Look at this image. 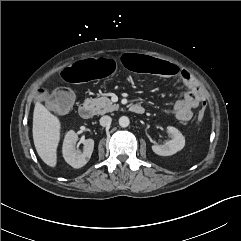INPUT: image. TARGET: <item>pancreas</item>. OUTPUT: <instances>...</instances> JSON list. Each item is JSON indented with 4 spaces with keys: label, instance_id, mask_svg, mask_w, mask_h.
<instances>
[{
    "label": "pancreas",
    "instance_id": "obj_1",
    "mask_svg": "<svg viewBox=\"0 0 241 241\" xmlns=\"http://www.w3.org/2000/svg\"><path fill=\"white\" fill-rule=\"evenodd\" d=\"M89 102L93 106L95 113L99 115L118 109V105L113 104L108 97L91 98Z\"/></svg>",
    "mask_w": 241,
    "mask_h": 241
}]
</instances>
